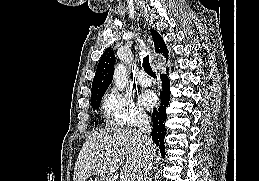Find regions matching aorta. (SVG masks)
Instances as JSON below:
<instances>
[{
  "mask_svg": "<svg viewBox=\"0 0 259 181\" xmlns=\"http://www.w3.org/2000/svg\"><path fill=\"white\" fill-rule=\"evenodd\" d=\"M114 83L119 90H123L127 84V70L124 64H118L114 70Z\"/></svg>",
  "mask_w": 259,
  "mask_h": 181,
  "instance_id": "aorta-1",
  "label": "aorta"
}]
</instances>
